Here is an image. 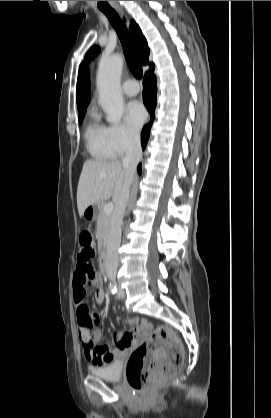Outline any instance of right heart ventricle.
<instances>
[{"instance_id": "e07e8e85", "label": "right heart ventricle", "mask_w": 271, "mask_h": 418, "mask_svg": "<svg viewBox=\"0 0 271 418\" xmlns=\"http://www.w3.org/2000/svg\"><path fill=\"white\" fill-rule=\"evenodd\" d=\"M85 144L89 154L96 160L106 161L116 157L108 137V127L91 112L84 132Z\"/></svg>"}]
</instances>
